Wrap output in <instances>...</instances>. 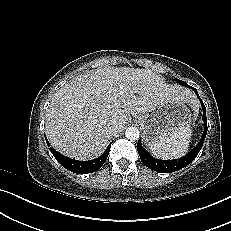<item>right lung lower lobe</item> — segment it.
Instances as JSON below:
<instances>
[{
	"mask_svg": "<svg viewBox=\"0 0 231 231\" xmlns=\"http://www.w3.org/2000/svg\"><path fill=\"white\" fill-rule=\"evenodd\" d=\"M46 139V138H45ZM46 143L48 146H50V143L46 139ZM111 143L108 145L105 152L98 158L89 160V161H78L74 159H70L60 153H58L55 149L50 148V151L52 152L53 156L56 158V160L66 169L70 170L74 173L79 174H87L97 171L102 167V165L105 163L109 151H110Z\"/></svg>",
	"mask_w": 231,
	"mask_h": 231,
	"instance_id": "right-lung-lower-lobe-1",
	"label": "right lung lower lobe"
}]
</instances>
